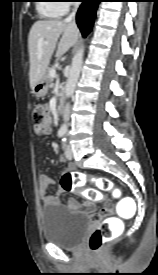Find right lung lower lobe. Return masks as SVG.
<instances>
[{
  "label": "right lung lower lobe",
  "instance_id": "1",
  "mask_svg": "<svg viewBox=\"0 0 158 275\" xmlns=\"http://www.w3.org/2000/svg\"><path fill=\"white\" fill-rule=\"evenodd\" d=\"M82 1L83 3L77 12L76 20L83 37H86L92 30L96 9L101 0Z\"/></svg>",
  "mask_w": 158,
  "mask_h": 275
}]
</instances>
